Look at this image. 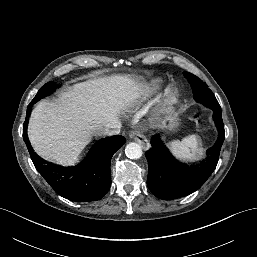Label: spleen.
<instances>
[{
    "instance_id": "3e777b00",
    "label": "spleen",
    "mask_w": 257,
    "mask_h": 257,
    "mask_svg": "<svg viewBox=\"0 0 257 257\" xmlns=\"http://www.w3.org/2000/svg\"><path fill=\"white\" fill-rule=\"evenodd\" d=\"M171 153L178 159L195 162L203 153L200 147V139L196 134L189 135L180 140H173L168 143Z\"/></svg>"
}]
</instances>
